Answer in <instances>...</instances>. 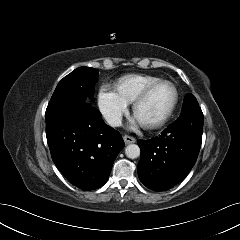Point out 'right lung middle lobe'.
Instances as JSON below:
<instances>
[{
  "instance_id": "1",
  "label": "right lung middle lobe",
  "mask_w": 240,
  "mask_h": 240,
  "mask_svg": "<svg viewBox=\"0 0 240 240\" xmlns=\"http://www.w3.org/2000/svg\"><path fill=\"white\" fill-rule=\"evenodd\" d=\"M98 70L91 67H80L65 76L57 85L47 110L65 106L90 103L94 96Z\"/></svg>"
}]
</instances>
